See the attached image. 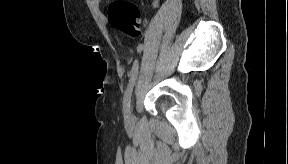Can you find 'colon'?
<instances>
[{"label":"colon","mask_w":288,"mask_h":164,"mask_svg":"<svg viewBox=\"0 0 288 164\" xmlns=\"http://www.w3.org/2000/svg\"><path fill=\"white\" fill-rule=\"evenodd\" d=\"M108 21L133 38L141 37V13L129 0H114L107 7Z\"/></svg>","instance_id":"5ec220e1"}]
</instances>
